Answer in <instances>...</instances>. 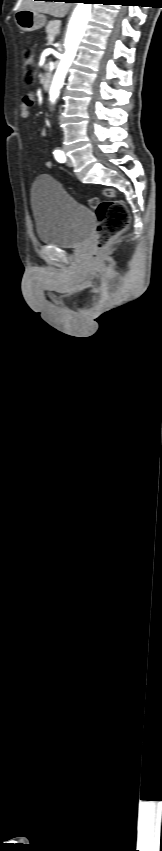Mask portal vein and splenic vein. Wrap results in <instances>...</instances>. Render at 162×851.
<instances>
[{
  "mask_svg": "<svg viewBox=\"0 0 162 851\" xmlns=\"http://www.w3.org/2000/svg\"><path fill=\"white\" fill-rule=\"evenodd\" d=\"M54 38H51L50 41L53 42Z\"/></svg>",
  "mask_w": 162,
  "mask_h": 851,
  "instance_id": "portal-vein-and-splenic-vein-1",
  "label": "portal vein and splenic vein"
}]
</instances>
